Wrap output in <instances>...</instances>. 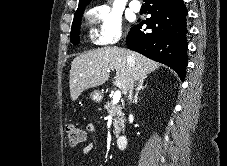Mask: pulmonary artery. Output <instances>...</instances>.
Wrapping results in <instances>:
<instances>
[{
  "instance_id": "1",
  "label": "pulmonary artery",
  "mask_w": 227,
  "mask_h": 166,
  "mask_svg": "<svg viewBox=\"0 0 227 166\" xmlns=\"http://www.w3.org/2000/svg\"><path fill=\"white\" fill-rule=\"evenodd\" d=\"M130 8L134 12H139L141 9V3L138 0H133L130 2Z\"/></svg>"
}]
</instances>
